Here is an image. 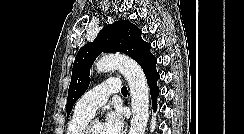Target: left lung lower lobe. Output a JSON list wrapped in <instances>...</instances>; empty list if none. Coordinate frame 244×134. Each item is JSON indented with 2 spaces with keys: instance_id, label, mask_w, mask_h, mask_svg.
<instances>
[{
  "instance_id": "0a47b994",
  "label": "left lung lower lobe",
  "mask_w": 244,
  "mask_h": 134,
  "mask_svg": "<svg viewBox=\"0 0 244 134\" xmlns=\"http://www.w3.org/2000/svg\"><path fill=\"white\" fill-rule=\"evenodd\" d=\"M148 85L150 87L151 98L153 103V109L157 108V97L159 95V88L157 87V80L159 79V74L157 71H152L146 75Z\"/></svg>"
}]
</instances>
